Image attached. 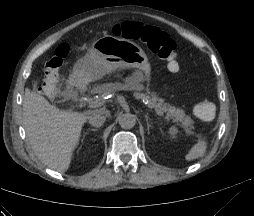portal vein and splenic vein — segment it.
Returning <instances> with one entry per match:
<instances>
[{
    "label": "portal vein and splenic vein",
    "instance_id": "18ae733b",
    "mask_svg": "<svg viewBox=\"0 0 254 216\" xmlns=\"http://www.w3.org/2000/svg\"><path fill=\"white\" fill-rule=\"evenodd\" d=\"M105 104V101H104V99H96V98H93V99H91V101L89 102V107L90 108H97V107H100V106H102V105H104ZM155 112H156V114L157 115H159V116H161V117H164V114H163V112H161V111H159V110H156L155 109Z\"/></svg>",
    "mask_w": 254,
    "mask_h": 216
}]
</instances>
